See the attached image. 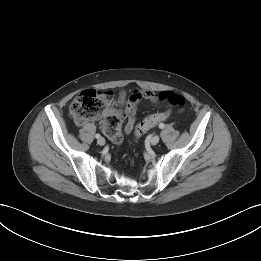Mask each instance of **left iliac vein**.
I'll list each match as a JSON object with an SVG mask.
<instances>
[{
  "label": "left iliac vein",
  "instance_id": "left-iliac-vein-1",
  "mask_svg": "<svg viewBox=\"0 0 261 261\" xmlns=\"http://www.w3.org/2000/svg\"><path fill=\"white\" fill-rule=\"evenodd\" d=\"M159 141H160L159 136L155 135V136H153V137L151 138L150 143H151L152 145H156V144L159 143Z\"/></svg>",
  "mask_w": 261,
  "mask_h": 261
}]
</instances>
